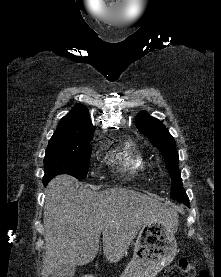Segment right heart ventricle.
<instances>
[{
    "label": "right heart ventricle",
    "instance_id": "right-heart-ventricle-1",
    "mask_svg": "<svg viewBox=\"0 0 221 277\" xmlns=\"http://www.w3.org/2000/svg\"><path fill=\"white\" fill-rule=\"evenodd\" d=\"M116 159L134 175L144 174L147 170V160L133 143H127L116 153Z\"/></svg>",
    "mask_w": 221,
    "mask_h": 277
}]
</instances>
